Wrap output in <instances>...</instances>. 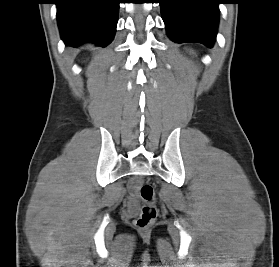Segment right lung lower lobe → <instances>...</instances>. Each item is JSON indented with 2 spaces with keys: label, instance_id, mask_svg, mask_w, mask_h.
<instances>
[{
  "label": "right lung lower lobe",
  "instance_id": "right-lung-lower-lobe-1",
  "mask_svg": "<svg viewBox=\"0 0 279 267\" xmlns=\"http://www.w3.org/2000/svg\"><path fill=\"white\" fill-rule=\"evenodd\" d=\"M55 4L65 45L91 41L105 47L112 42L119 0H55Z\"/></svg>",
  "mask_w": 279,
  "mask_h": 267
}]
</instances>
